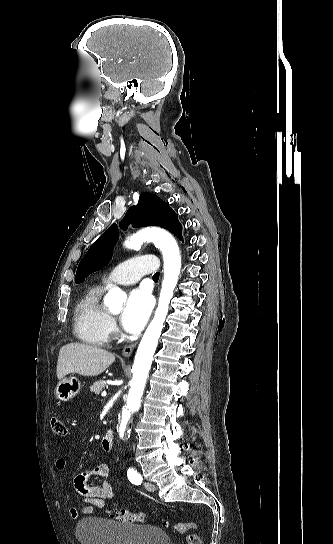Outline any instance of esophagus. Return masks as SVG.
<instances>
[{
  "label": "esophagus",
  "instance_id": "1",
  "mask_svg": "<svg viewBox=\"0 0 333 544\" xmlns=\"http://www.w3.org/2000/svg\"><path fill=\"white\" fill-rule=\"evenodd\" d=\"M136 345H137V342H134V343L124 347V349L122 350V356L123 357H129L132 354V352H133L134 348L136 347Z\"/></svg>",
  "mask_w": 333,
  "mask_h": 544
}]
</instances>
